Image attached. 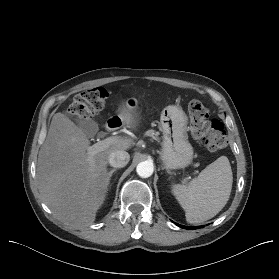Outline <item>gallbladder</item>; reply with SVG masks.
I'll return each instance as SVG.
<instances>
[{"label":"gallbladder","instance_id":"1","mask_svg":"<svg viewBox=\"0 0 279 279\" xmlns=\"http://www.w3.org/2000/svg\"><path fill=\"white\" fill-rule=\"evenodd\" d=\"M76 123L87 137H93L98 132V125L93 120L76 118Z\"/></svg>","mask_w":279,"mask_h":279}]
</instances>
